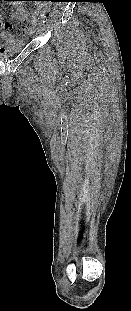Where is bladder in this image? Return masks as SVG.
<instances>
[{"label": "bladder", "mask_w": 131, "mask_h": 311, "mask_svg": "<svg viewBox=\"0 0 131 311\" xmlns=\"http://www.w3.org/2000/svg\"><path fill=\"white\" fill-rule=\"evenodd\" d=\"M26 45L27 41L17 37L10 40H0V59H7L19 53Z\"/></svg>", "instance_id": "31cf9c89"}]
</instances>
